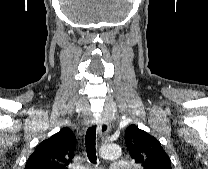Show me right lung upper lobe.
Wrapping results in <instances>:
<instances>
[{
    "label": "right lung upper lobe",
    "mask_w": 208,
    "mask_h": 169,
    "mask_svg": "<svg viewBox=\"0 0 208 169\" xmlns=\"http://www.w3.org/2000/svg\"><path fill=\"white\" fill-rule=\"evenodd\" d=\"M76 138L69 128L41 142L26 162L25 169H68L74 158Z\"/></svg>",
    "instance_id": "1"
}]
</instances>
